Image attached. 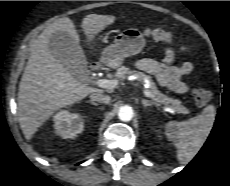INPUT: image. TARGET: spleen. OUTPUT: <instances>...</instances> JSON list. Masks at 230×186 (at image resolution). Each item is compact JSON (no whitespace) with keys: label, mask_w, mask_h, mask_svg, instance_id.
Here are the masks:
<instances>
[{"label":"spleen","mask_w":230,"mask_h":186,"mask_svg":"<svg viewBox=\"0 0 230 186\" xmlns=\"http://www.w3.org/2000/svg\"><path fill=\"white\" fill-rule=\"evenodd\" d=\"M215 107L208 105L202 113L187 121H170L165 125V135L177 148V158L182 164L190 162L205 143L215 121Z\"/></svg>","instance_id":"spleen-1"}]
</instances>
